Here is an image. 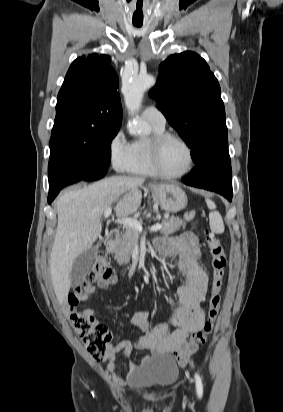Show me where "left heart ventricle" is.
I'll return each instance as SVG.
<instances>
[{"label": "left heart ventricle", "instance_id": "b2bd125f", "mask_svg": "<svg viewBox=\"0 0 283 412\" xmlns=\"http://www.w3.org/2000/svg\"><path fill=\"white\" fill-rule=\"evenodd\" d=\"M160 163L162 169L166 172H182L189 163V155L186 147L177 140H168L162 148Z\"/></svg>", "mask_w": 283, "mask_h": 412}]
</instances>
